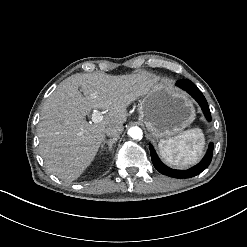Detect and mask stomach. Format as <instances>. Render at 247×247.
I'll return each instance as SVG.
<instances>
[{
  "mask_svg": "<svg viewBox=\"0 0 247 247\" xmlns=\"http://www.w3.org/2000/svg\"><path fill=\"white\" fill-rule=\"evenodd\" d=\"M139 118L154 138L174 139L195 119L193 101L171 82L162 80L140 102Z\"/></svg>",
  "mask_w": 247,
  "mask_h": 247,
  "instance_id": "1",
  "label": "stomach"
}]
</instances>
